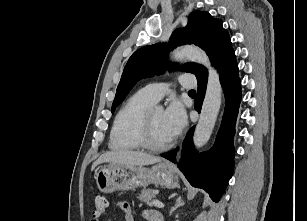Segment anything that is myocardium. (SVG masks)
I'll return each mask as SVG.
<instances>
[{
    "label": "myocardium",
    "instance_id": "myocardium-1",
    "mask_svg": "<svg viewBox=\"0 0 307 221\" xmlns=\"http://www.w3.org/2000/svg\"><path fill=\"white\" fill-rule=\"evenodd\" d=\"M155 109H148L142 117L139 133H138V141L140 146L146 150L152 152H162L169 149L173 140H170L164 144H156L152 140V115Z\"/></svg>",
    "mask_w": 307,
    "mask_h": 221
}]
</instances>
